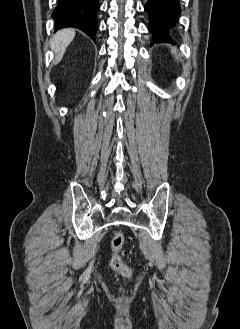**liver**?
I'll use <instances>...</instances> for the list:
<instances>
[{"label":"liver","mask_w":240,"mask_h":329,"mask_svg":"<svg viewBox=\"0 0 240 329\" xmlns=\"http://www.w3.org/2000/svg\"><path fill=\"white\" fill-rule=\"evenodd\" d=\"M75 37L73 29H62L58 31L51 39L50 46L55 53L54 64H58L65 53L66 48Z\"/></svg>","instance_id":"1"}]
</instances>
